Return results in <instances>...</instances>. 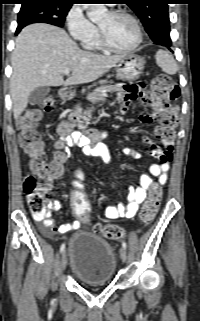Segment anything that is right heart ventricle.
Returning a JSON list of instances; mask_svg holds the SVG:
<instances>
[{
	"instance_id": "e07e8e85",
	"label": "right heart ventricle",
	"mask_w": 200,
	"mask_h": 321,
	"mask_svg": "<svg viewBox=\"0 0 200 321\" xmlns=\"http://www.w3.org/2000/svg\"><path fill=\"white\" fill-rule=\"evenodd\" d=\"M81 42L83 47L87 50L98 51L102 49L99 43L97 29L91 35L81 40Z\"/></svg>"
}]
</instances>
